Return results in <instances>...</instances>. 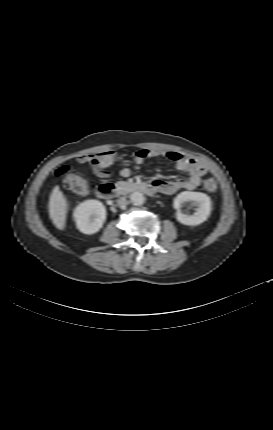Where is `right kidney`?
<instances>
[{"label": "right kidney", "mask_w": 273, "mask_h": 430, "mask_svg": "<svg viewBox=\"0 0 273 430\" xmlns=\"http://www.w3.org/2000/svg\"><path fill=\"white\" fill-rule=\"evenodd\" d=\"M74 219L82 233L94 234L101 229L106 219V209L98 200H86L75 208Z\"/></svg>", "instance_id": "obj_1"}]
</instances>
